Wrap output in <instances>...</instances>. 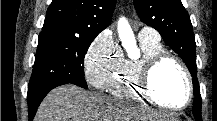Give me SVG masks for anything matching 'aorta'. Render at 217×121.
<instances>
[{
  "mask_svg": "<svg viewBox=\"0 0 217 121\" xmlns=\"http://www.w3.org/2000/svg\"><path fill=\"white\" fill-rule=\"evenodd\" d=\"M117 29L122 46L127 51L128 56L130 58H136L139 55V50L136 46L134 33L126 18L121 17L118 20Z\"/></svg>",
  "mask_w": 217,
  "mask_h": 121,
  "instance_id": "aorta-1",
  "label": "aorta"
}]
</instances>
